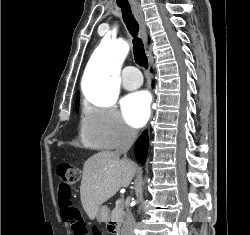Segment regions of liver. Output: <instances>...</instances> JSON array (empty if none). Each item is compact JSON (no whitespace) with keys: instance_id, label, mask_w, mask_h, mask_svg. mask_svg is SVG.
I'll return each mask as SVG.
<instances>
[{"instance_id":"6515ba94","label":"liver","mask_w":250,"mask_h":235,"mask_svg":"<svg viewBox=\"0 0 250 235\" xmlns=\"http://www.w3.org/2000/svg\"><path fill=\"white\" fill-rule=\"evenodd\" d=\"M136 172V164L120 159L115 152L102 151L90 157L83 166L80 197L83 209L91 220L100 206L120 188L128 187Z\"/></svg>"}]
</instances>
